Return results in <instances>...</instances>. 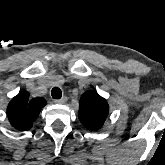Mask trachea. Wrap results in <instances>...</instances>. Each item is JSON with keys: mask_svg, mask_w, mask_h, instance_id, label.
Wrapping results in <instances>:
<instances>
[{"mask_svg": "<svg viewBox=\"0 0 165 165\" xmlns=\"http://www.w3.org/2000/svg\"><path fill=\"white\" fill-rule=\"evenodd\" d=\"M51 95H52V98H53V99H60L61 96H62V91H61V89H59L58 87H54V88L51 90Z\"/></svg>", "mask_w": 165, "mask_h": 165, "instance_id": "1", "label": "trachea"}]
</instances>
